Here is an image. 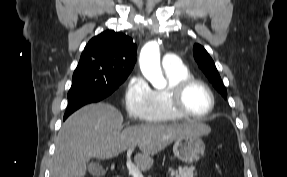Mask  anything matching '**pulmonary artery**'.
I'll list each match as a JSON object with an SVG mask.
<instances>
[{
    "instance_id": "pulmonary-artery-1",
    "label": "pulmonary artery",
    "mask_w": 287,
    "mask_h": 177,
    "mask_svg": "<svg viewBox=\"0 0 287 177\" xmlns=\"http://www.w3.org/2000/svg\"><path fill=\"white\" fill-rule=\"evenodd\" d=\"M180 65L179 58L175 54H167L162 60V66L165 69L175 68Z\"/></svg>"
}]
</instances>
